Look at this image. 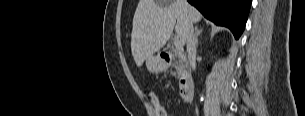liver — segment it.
I'll return each mask as SVG.
<instances>
[{"instance_id":"liver-1","label":"liver","mask_w":305,"mask_h":116,"mask_svg":"<svg viewBox=\"0 0 305 116\" xmlns=\"http://www.w3.org/2000/svg\"><path fill=\"white\" fill-rule=\"evenodd\" d=\"M202 15L186 0H140L133 18L131 51L141 67L144 61L159 51L175 31L181 44L187 42L189 23H197Z\"/></svg>"}]
</instances>
